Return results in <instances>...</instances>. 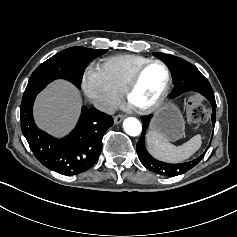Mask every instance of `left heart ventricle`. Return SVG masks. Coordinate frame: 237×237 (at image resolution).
I'll list each match as a JSON object with an SVG mask.
<instances>
[{"label":"left heart ventricle","mask_w":237,"mask_h":237,"mask_svg":"<svg viewBox=\"0 0 237 237\" xmlns=\"http://www.w3.org/2000/svg\"><path fill=\"white\" fill-rule=\"evenodd\" d=\"M165 83V69L159 64L149 66L133 92L131 103L135 107H146L152 104L160 96Z\"/></svg>","instance_id":"b2bd125f"}]
</instances>
